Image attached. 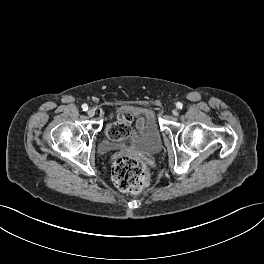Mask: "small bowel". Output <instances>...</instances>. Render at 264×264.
Instances as JSON below:
<instances>
[{
  "mask_svg": "<svg viewBox=\"0 0 264 264\" xmlns=\"http://www.w3.org/2000/svg\"><path fill=\"white\" fill-rule=\"evenodd\" d=\"M137 125H138V128H140L142 126V120L141 119L138 121Z\"/></svg>",
  "mask_w": 264,
  "mask_h": 264,
  "instance_id": "small-bowel-1",
  "label": "small bowel"
}]
</instances>
